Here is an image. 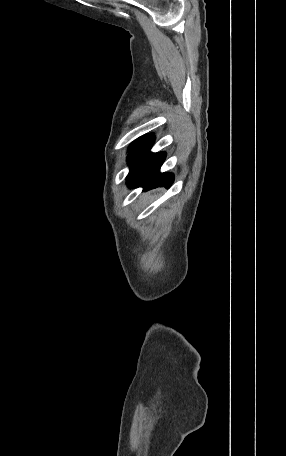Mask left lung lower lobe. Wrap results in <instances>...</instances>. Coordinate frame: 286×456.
Segmentation results:
<instances>
[{
    "label": "left lung lower lobe",
    "mask_w": 286,
    "mask_h": 456,
    "mask_svg": "<svg viewBox=\"0 0 286 456\" xmlns=\"http://www.w3.org/2000/svg\"><path fill=\"white\" fill-rule=\"evenodd\" d=\"M154 136L146 134L139 137L130 147L128 162L130 171L127 176V185L130 188L143 187L147 191L159 186L170 187L174 177L170 173H160V167L165 160L164 152L151 153Z\"/></svg>",
    "instance_id": "left-lung-lower-lobe-1"
}]
</instances>
